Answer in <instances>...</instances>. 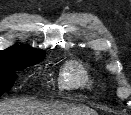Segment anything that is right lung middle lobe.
I'll return each mask as SVG.
<instances>
[{
    "instance_id": "dd1d6c3e",
    "label": "right lung middle lobe",
    "mask_w": 131,
    "mask_h": 115,
    "mask_svg": "<svg viewBox=\"0 0 131 115\" xmlns=\"http://www.w3.org/2000/svg\"><path fill=\"white\" fill-rule=\"evenodd\" d=\"M45 55L42 56H24L16 59L11 62L9 67L5 69L0 68V96L8 92L13 86L14 81L16 80V71L23 70L29 66L38 64Z\"/></svg>"
}]
</instances>
